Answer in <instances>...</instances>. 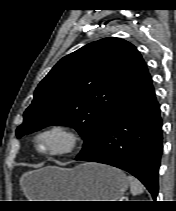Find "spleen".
<instances>
[{"instance_id": "3e777b00", "label": "spleen", "mask_w": 176, "mask_h": 211, "mask_svg": "<svg viewBox=\"0 0 176 211\" xmlns=\"http://www.w3.org/2000/svg\"><path fill=\"white\" fill-rule=\"evenodd\" d=\"M127 179L130 183V190L133 195H139L143 193V186L139 180H137L133 176H128Z\"/></svg>"}]
</instances>
